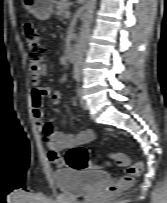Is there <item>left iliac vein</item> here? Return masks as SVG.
<instances>
[{
  "label": "left iliac vein",
  "mask_w": 167,
  "mask_h": 203,
  "mask_svg": "<svg viewBox=\"0 0 167 203\" xmlns=\"http://www.w3.org/2000/svg\"><path fill=\"white\" fill-rule=\"evenodd\" d=\"M78 96L80 98V104H81L82 108L84 110H87L88 104H87L86 100L83 98V90L81 88L78 90Z\"/></svg>",
  "instance_id": "obj_1"
}]
</instances>
